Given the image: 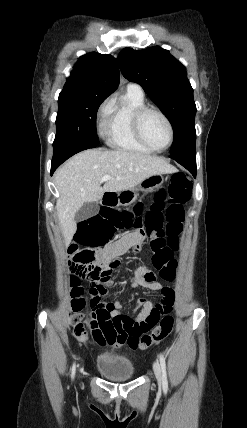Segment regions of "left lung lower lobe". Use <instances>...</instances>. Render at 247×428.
Returning <instances> with one entry per match:
<instances>
[{"label": "left lung lower lobe", "instance_id": "1", "mask_svg": "<svg viewBox=\"0 0 247 428\" xmlns=\"http://www.w3.org/2000/svg\"><path fill=\"white\" fill-rule=\"evenodd\" d=\"M170 158L177 161L183 167L191 172V174L196 177V154L195 155H186V156H172Z\"/></svg>", "mask_w": 247, "mask_h": 428}]
</instances>
